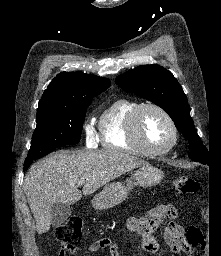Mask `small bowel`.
<instances>
[{
	"label": "small bowel",
	"instance_id": "small-bowel-1",
	"mask_svg": "<svg viewBox=\"0 0 221 256\" xmlns=\"http://www.w3.org/2000/svg\"><path fill=\"white\" fill-rule=\"evenodd\" d=\"M177 210L173 205H158L152 208L146 215L142 217H130L127 221V227L130 231L142 235L143 247L150 253H156L159 244L154 236L164 219H175ZM164 241L172 252V256H178L187 249V242L183 235V228L176 222H171L164 229ZM107 249L109 256H119L118 246L107 237L99 238L87 247L89 252H96ZM60 256H65L62 251Z\"/></svg>",
	"mask_w": 221,
	"mask_h": 256
}]
</instances>
